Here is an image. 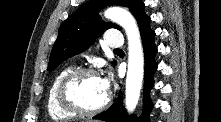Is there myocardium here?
<instances>
[{"mask_svg": "<svg viewBox=\"0 0 221 122\" xmlns=\"http://www.w3.org/2000/svg\"><path fill=\"white\" fill-rule=\"evenodd\" d=\"M86 75L99 77V73L92 68H87V67L75 68V69H72L70 72H68L61 79L57 87V101L60 107L75 115L92 116V115L98 114L107 108L111 100L110 94L107 93L105 100L99 106L95 108L86 109L80 106L79 104H77L73 100L70 94V90H71L72 85L76 82L78 78L82 76H86Z\"/></svg>", "mask_w": 221, "mask_h": 122, "instance_id": "obj_1", "label": "myocardium"}]
</instances>
